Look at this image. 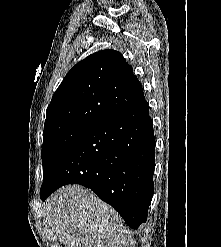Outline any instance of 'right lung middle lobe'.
Returning <instances> with one entry per match:
<instances>
[{"label": "right lung middle lobe", "mask_w": 221, "mask_h": 247, "mask_svg": "<svg viewBox=\"0 0 221 247\" xmlns=\"http://www.w3.org/2000/svg\"><path fill=\"white\" fill-rule=\"evenodd\" d=\"M90 128L92 126L85 124H68L44 130L42 146L43 184L69 147Z\"/></svg>", "instance_id": "dd1d6c3e"}]
</instances>
